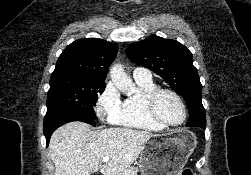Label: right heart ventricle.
Segmentation results:
<instances>
[{
	"label": "right heart ventricle",
	"instance_id": "obj_1",
	"mask_svg": "<svg viewBox=\"0 0 251 175\" xmlns=\"http://www.w3.org/2000/svg\"><path fill=\"white\" fill-rule=\"evenodd\" d=\"M137 82V95L127 98L123 104L117 124L126 127L136 128L148 132H162L164 128L155 123L147 114L143 99L154 90L156 85L153 82Z\"/></svg>",
	"mask_w": 251,
	"mask_h": 175
}]
</instances>
